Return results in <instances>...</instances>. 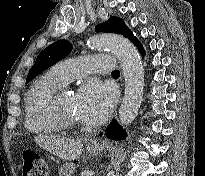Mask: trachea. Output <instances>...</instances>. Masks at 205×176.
<instances>
[{"instance_id": "obj_1", "label": "trachea", "mask_w": 205, "mask_h": 176, "mask_svg": "<svg viewBox=\"0 0 205 176\" xmlns=\"http://www.w3.org/2000/svg\"><path fill=\"white\" fill-rule=\"evenodd\" d=\"M114 73H119V71L118 70L112 71V74H114Z\"/></svg>"}]
</instances>
